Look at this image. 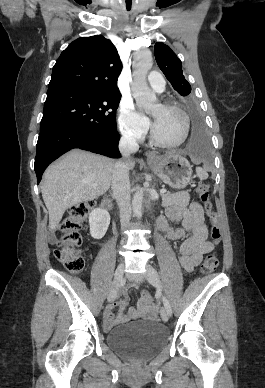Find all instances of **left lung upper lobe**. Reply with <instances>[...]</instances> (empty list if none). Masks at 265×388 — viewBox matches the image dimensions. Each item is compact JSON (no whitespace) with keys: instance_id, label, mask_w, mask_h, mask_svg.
I'll return each instance as SVG.
<instances>
[{"instance_id":"left-lung-upper-lobe-1","label":"left lung upper lobe","mask_w":265,"mask_h":388,"mask_svg":"<svg viewBox=\"0 0 265 388\" xmlns=\"http://www.w3.org/2000/svg\"><path fill=\"white\" fill-rule=\"evenodd\" d=\"M154 54L159 68L162 70L173 88L182 96H187L191 92V86L185 80L182 71V64L176 54L165 44L156 43ZM191 110L194 106L191 104Z\"/></svg>"}]
</instances>
